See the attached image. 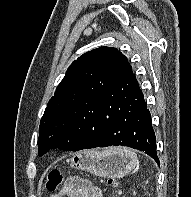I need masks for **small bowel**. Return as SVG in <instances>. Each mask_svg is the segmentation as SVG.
Segmentation results:
<instances>
[{
    "instance_id": "c3829d8e",
    "label": "small bowel",
    "mask_w": 191,
    "mask_h": 197,
    "mask_svg": "<svg viewBox=\"0 0 191 197\" xmlns=\"http://www.w3.org/2000/svg\"><path fill=\"white\" fill-rule=\"evenodd\" d=\"M50 197H101L100 192L91 183L83 180H70Z\"/></svg>"
}]
</instances>
